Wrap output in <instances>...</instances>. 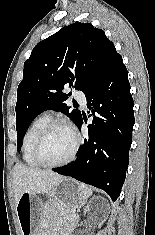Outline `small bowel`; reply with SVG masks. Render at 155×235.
Here are the masks:
<instances>
[{"label": "small bowel", "mask_w": 155, "mask_h": 235, "mask_svg": "<svg viewBox=\"0 0 155 235\" xmlns=\"http://www.w3.org/2000/svg\"><path fill=\"white\" fill-rule=\"evenodd\" d=\"M53 235H68L66 231H61L59 233H54Z\"/></svg>", "instance_id": "obj_1"}]
</instances>
